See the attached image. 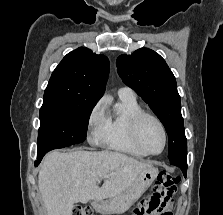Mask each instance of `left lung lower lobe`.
<instances>
[{"label":"left lung lower lobe","mask_w":223,"mask_h":215,"mask_svg":"<svg viewBox=\"0 0 223 215\" xmlns=\"http://www.w3.org/2000/svg\"><path fill=\"white\" fill-rule=\"evenodd\" d=\"M170 164H172V165H175V166L179 167V168L182 170L184 177H186L187 163H186V164H176V163H170Z\"/></svg>","instance_id":"0a47b994"}]
</instances>
